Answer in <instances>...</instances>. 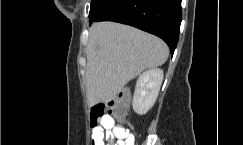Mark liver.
Returning <instances> with one entry per match:
<instances>
[{"label": "liver", "mask_w": 243, "mask_h": 145, "mask_svg": "<svg viewBox=\"0 0 243 145\" xmlns=\"http://www.w3.org/2000/svg\"><path fill=\"white\" fill-rule=\"evenodd\" d=\"M88 105L108 103L146 69L163 65L167 45L154 35L114 22L94 23L86 49Z\"/></svg>", "instance_id": "6515ba94"}]
</instances>
